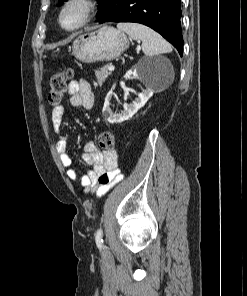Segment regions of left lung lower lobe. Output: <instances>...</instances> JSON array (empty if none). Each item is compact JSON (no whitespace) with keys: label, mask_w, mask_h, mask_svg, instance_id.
<instances>
[{"label":"left lung lower lobe","mask_w":247,"mask_h":296,"mask_svg":"<svg viewBox=\"0 0 247 296\" xmlns=\"http://www.w3.org/2000/svg\"><path fill=\"white\" fill-rule=\"evenodd\" d=\"M181 0H112L108 9L99 15V23L135 22L160 33L183 54L181 32Z\"/></svg>","instance_id":"0a47b994"}]
</instances>
